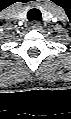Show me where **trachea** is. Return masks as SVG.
I'll use <instances>...</instances> for the list:
<instances>
[{"label":"trachea","mask_w":71,"mask_h":119,"mask_svg":"<svg viewBox=\"0 0 71 119\" xmlns=\"http://www.w3.org/2000/svg\"><path fill=\"white\" fill-rule=\"evenodd\" d=\"M27 17L29 21H42V14L36 8L30 9L28 11Z\"/></svg>","instance_id":"3493384b"}]
</instances>
